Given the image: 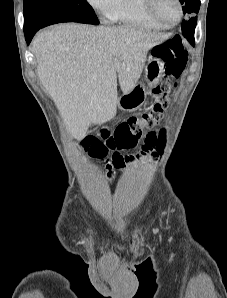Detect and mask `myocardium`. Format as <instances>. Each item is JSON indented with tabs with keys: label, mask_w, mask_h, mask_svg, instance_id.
Segmentation results:
<instances>
[{
	"label": "myocardium",
	"mask_w": 227,
	"mask_h": 298,
	"mask_svg": "<svg viewBox=\"0 0 227 298\" xmlns=\"http://www.w3.org/2000/svg\"><path fill=\"white\" fill-rule=\"evenodd\" d=\"M178 8H179V17L178 19L174 22V23H168L165 20H163L160 15L157 12V4H158V0H146V10L149 14V16L155 20L156 22H158L159 24L163 25L164 27H174L176 25H178L184 15V9H183V3L181 0H175Z\"/></svg>",
	"instance_id": "obj_1"
}]
</instances>
